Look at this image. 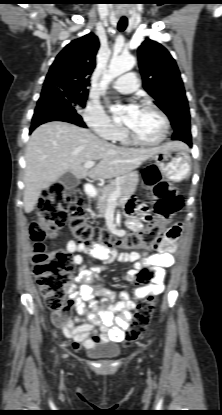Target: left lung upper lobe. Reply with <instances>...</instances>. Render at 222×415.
<instances>
[{
	"label": "left lung upper lobe",
	"instance_id": "obj_1",
	"mask_svg": "<svg viewBox=\"0 0 222 415\" xmlns=\"http://www.w3.org/2000/svg\"><path fill=\"white\" fill-rule=\"evenodd\" d=\"M143 87L168 116L174 130L190 126V113L177 64L165 47L147 38L138 48Z\"/></svg>",
	"mask_w": 222,
	"mask_h": 415
}]
</instances>
